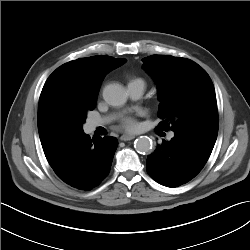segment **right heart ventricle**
<instances>
[{"label": "right heart ventricle", "mask_w": 250, "mask_h": 250, "mask_svg": "<svg viewBox=\"0 0 250 250\" xmlns=\"http://www.w3.org/2000/svg\"><path fill=\"white\" fill-rule=\"evenodd\" d=\"M134 80H140V79H133L132 81H134ZM140 81H142V80H140Z\"/></svg>", "instance_id": "1"}]
</instances>
